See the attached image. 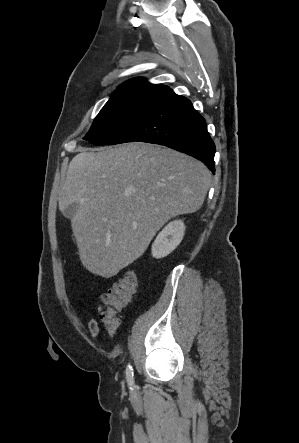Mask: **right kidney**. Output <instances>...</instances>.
Returning a JSON list of instances; mask_svg holds the SVG:
<instances>
[{
	"instance_id": "right-kidney-1",
	"label": "right kidney",
	"mask_w": 299,
	"mask_h": 443,
	"mask_svg": "<svg viewBox=\"0 0 299 443\" xmlns=\"http://www.w3.org/2000/svg\"><path fill=\"white\" fill-rule=\"evenodd\" d=\"M184 232L185 225L182 220L170 222L153 242L152 256L159 259L169 255L181 243Z\"/></svg>"
}]
</instances>
